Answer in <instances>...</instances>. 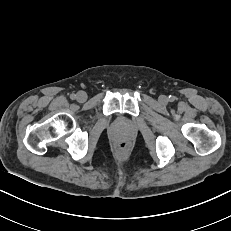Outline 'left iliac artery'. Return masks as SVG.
<instances>
[{
	"label": "left iliac artery",
	"instance_id": "obj_1",
	"mask_svg": "<svg viewBox=\"0 0 231 231\" xmlns=\"http://www.w3.org/2000/svg\"><path fill=\"white\" fill-rule=\"evenodd\" d=\"M169 99H170V101H173V100H174V97L169 96Z\"/></svg>",
	"mask_w": 231,
	"mask_h": 231
}]
</instances>
